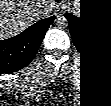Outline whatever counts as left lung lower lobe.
Instances as JSON below:
<instances>
[{
  "instance_id": "0a47b994",
  "label": "left lung lower lobe",
  "mask_w": 111,
  "mask_h": 106,
  "mask_svg": "<svg viewBox=\"0 0 111 106\" xmlns=\"http://www.w3.org/2000/svg\"><path fill=\"white\" fill-rule=\"evenodd\" d=\"M64 16L81 58L96 68L111 70V1L101 11L82 2L80 18L70 13Z\"/></svg>"
}]
</instances>
